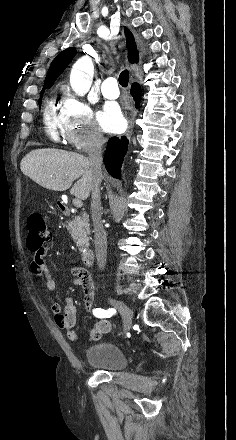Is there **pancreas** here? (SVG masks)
<instances>
[{
	"mask_svg": "<svg viewBox=\"0 0 236 440\" xmlns=\"http://www.w3.org/2000/svg\"><path fill=\"white\" fill-rule=\"evenodd\" d=\"M89 216L87 214L75 216L67 225V229L81 252L89 245L90 234Z\"/></svg>",
	"mask_w": 236,
	"mask_h": 440,
	"instance_id": "cf45deb5",
	"label": "pancreas"
}]
</instances>
